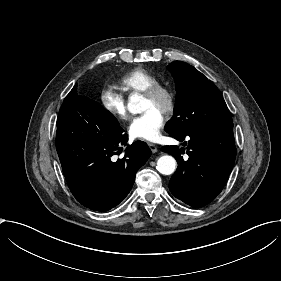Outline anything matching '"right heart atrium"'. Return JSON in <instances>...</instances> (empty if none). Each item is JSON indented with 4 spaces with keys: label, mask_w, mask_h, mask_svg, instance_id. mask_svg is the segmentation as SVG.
<instances>
[{
    "label": "right heart atrium",
    "mask_w": 281,
    "mask_h": 281,
    "mask_svg": "<svg viewBox=\"0 0 281 281\" xmlns=\"http://www.w3.org/2000/svg\"><path fill=\"white\" fill-rule=\"evenodd\" d=\"M100 103L107 114L118 119L127 118V107L123 96L110 86L100 91Z\"/></svg>",
    "instance_id": "right-heart-atrium-1"
}]
</instances>
